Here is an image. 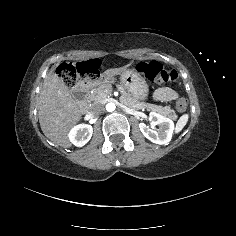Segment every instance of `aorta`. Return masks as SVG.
<instances>
[{
  "mask_svg": "<svg viewBox=\"0 0 236 236\" xmlns=\"http://www.w3.org/2000/svg\"><path fill=\"white\" fill-rule=\"evenodd\" d=\"M106 110H107L108 112H113V111H115V110H116V105H115V103H113V102L108 103V104L106 105Z\"/></svg>",
  "mask_w": 236,
  "mask_h": 236,
  "instance_id": "1",
  "label": "aorta"
}]
</instances>
